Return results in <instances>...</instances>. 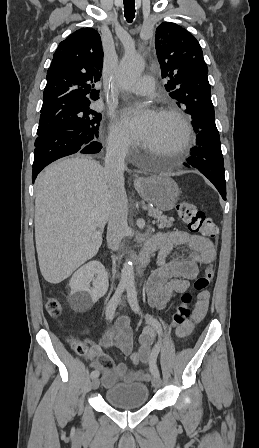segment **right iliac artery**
<instances>
[{
  "label": "right iliac artery",
  "instance_id": "right-iliac-artery-1",
  "mask_svg": "<svg viewBox=\"0 0 259 448\" xmlns=\"http://www.w3.org/2000/svg\"><path fill=\"white\" fill-rule=\"evenodd\" d=\"M126 289V284H119L115 294L112 296V298L110 299V301L108 302L107 306H106V318L111 321L114 317L115 314V310L117 308L119 299L122 295V293L124 292V290ZM91 378H97L99 376V372L98 371H92L91 372Z\"/></svg>",
  "mask_w": 259,
  "mask_h": 448
}]
</instances>
